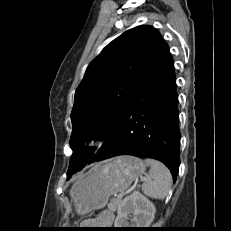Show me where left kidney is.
<instances>
[{
	"label": "left kidney",
	"mask_w": 231,
	"mask_h": 231,
	"mask_svg": "<svg viewBox=\"0 0 231 231\" xmlns=\"http://www.w3.org/2000/svg\"><path fill=\"white\" fill-rule=\"evenodd\" d=\"M156 208L140 192H133L118 207L115 228H148L154 219ZM131 218V223L128 222Z\"/></svg>",
	"instance_id": "1"
}]
</instances>
